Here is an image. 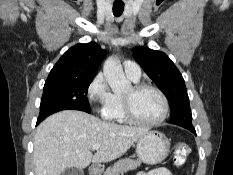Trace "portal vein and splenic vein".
Listing matches in <instances>:
<instances>
[{
    "instance_id": "portal-vein-and-splenic-vein-1",
    "label": "portal vein and splenic vein",
    "mask_w": 233,
    "mask_h": 175,
    "mask_svg": "<svg viewBox=\"0 0 233 175\" xmlns=\"http://www.w3.org/2000/svg\"><path fill=\"white\" fill-rule=\"evenodd\" d=\"M100 147H101L100 144H94V145L92 146V150H98Z\"/></svg>"
}]
</instances>
